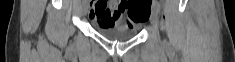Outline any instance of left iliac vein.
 <instances>
[{
    "instance_id": "obj_1",
    "label": "left iliac vein",
    "mask_w": 235,
    "mask_h": 62,
    "mask_svg": "<svg viewBox=\"0 0 235 62\" xmlns=\"http://www.w3.org/2000/svg\"><path fill=\"white\" fill-rule=\"evenodd\" d=\"M150 22L154 29L158 28V14L155 9L151 13Z\"/></svg>"
}]
</instances>
